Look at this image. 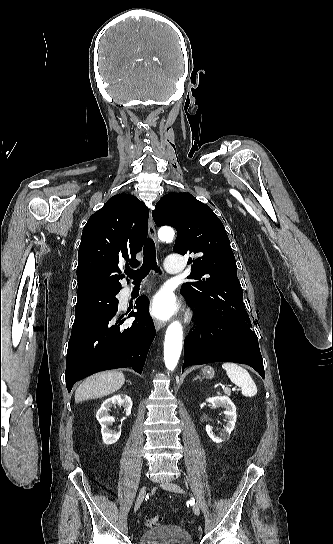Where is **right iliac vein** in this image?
Masks as SVG:
<instances>
[{"label":"right iliac vein","instance_id":"1","mask_svg":"<svg viewBox=\"0 0 333 544\" xmlns=\"http://www.w3.org/2000/svg\"><path fill=\"white\" fill-rule=\"evenodd\" d=\"M145 495H146V486H143L139 491L138 497H137L135 505H134V511L135 512L139 509Z\"/></svg>","mask_w":333,"mask_h":544}]
</instances>
